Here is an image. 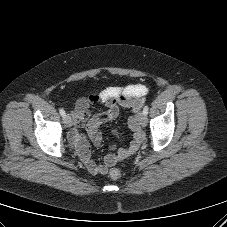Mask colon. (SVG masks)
<instances>
[{"label": "colon", "mask_w": 227, "mask_h": 227, "mask_svg": "<svg viewBox=\"0 0 227 227\" xmlns=\"http://www.w3.org/2000/svg\"><path fill=\"white\" fill-rule=\"evenodd\" d=\"M109 175L114 180L119 179L122 176V170L120 168H113L110 170Z\"/></svg>", "instance_id": "colon-1"}]
</instances>
